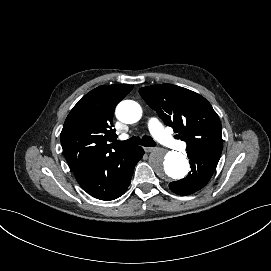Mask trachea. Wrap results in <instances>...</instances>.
I'll return each mask as SVG.
<instances>
[{"instance_id": "3493384b", "label": "trachea", "mask_w": 271, "mask_h": 271, "mask_svg": "<svg viewBox=\"0 0 271 271\" xmlns=\"http://www.w3.org/2000/svg\"><path fill=\"white\" fill-rule=\"evenodd\" d=\"M114 144L119 147H134L137 145H143L144 147H154L156 146V143L150 136H143L142 139L139 137H131L130 139L126 141H118L115 140Z\"/></svg>"}]
</instances>
